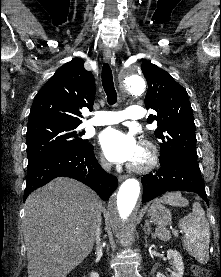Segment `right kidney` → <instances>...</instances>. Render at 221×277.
Returning a JSON list of instances; mask_svg holds the SVG:
<instances>
[{
    "label": "right kidney",
    "mask_w": 221,
    "mask_h": 277,
    "mask_svg": "<svg viewBox=\"0 0 221 277\" xmlns=\"http://www.w3.org/2000/svg\"><path fill=\"white\" fill-rule=\"evenodd\" d=\"M90 277H99V274L96 272H91Z\"/></svg>",
    "instance_id": "obj_1"
}]
</instances>
